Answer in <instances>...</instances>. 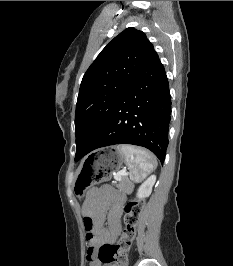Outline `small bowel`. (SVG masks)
<instances>
[{
	"label": "small bowel",
	"instance_id": "1",
	"mask_svg": "<svg viewBox=\"0 0 233 266\" xmlns=\"http://www.w3.org/2000/svg\"><path fill=\"white\" fill-rule=\"evenodd\" d=\"M123 203L124 196L110 187L93 189L89 193L83 212L91 220V227L85 226L90 266H101L95 260L98 248L114 243L118 237L122 228Z\"/></svg>",
	"mask_w": 233,
	"mask_h": 266
}]
</instances>
